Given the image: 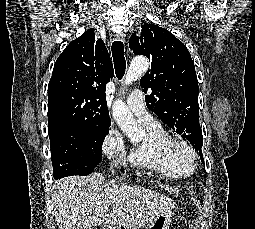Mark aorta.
Wrapping results in <instances>:
<instances>
[{
	"instance_id": "aorta-1",
	"label": "aorta",
	"mask_w": 255,
	"mask_h": 229,
	"mask_svg": "<svg viewBox=\"0 0 255 229\" xmlns=\"http://www.w3.org/2000/svg\"><path fill=\"white\" fill-rule=\"evenodd\" d=\"M148 69V61L144 57H136L132 60L128 72L124 77V84L129 85L137 80ZM113 117L122 131L131 139L139 141L143 131L135 121L132 113L121 100L117 99L113 104Z\"/></svg>"
}]
</instances>
